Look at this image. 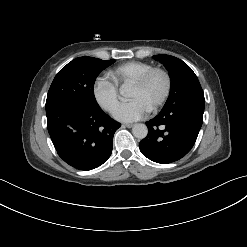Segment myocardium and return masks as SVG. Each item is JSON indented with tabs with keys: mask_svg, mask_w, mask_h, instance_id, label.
I'll return each mask as SVG.
<instances>
[{
	"mask_svg": "<svg viewBox=\"0 0 247 247\" xmlns=\"http://www.w3.org/2000/svg\"><path fill=\"white\" fill-rule=\"evenodd\" d=\"M155 73H160L165 77L166 87H165V91H164L162 97L150 108V111L158 110L168 100V98L171 94V91H172V86H173V80H172V76H171L170 72L168 70H166L165 68L152 67L151 69H149L147 72H145L143 75H141L138 79H136L133 82V85H135L137 87H143L148 83L150 78Z\"/></svg>",
	"mask_w": 247,
	"mask_h": 247,
	"instance_id": "myocardium-1",
	"label": "myocardium"
}]
</instances>
